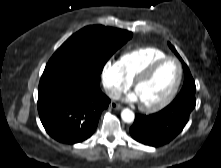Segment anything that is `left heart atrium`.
Listing matches in <instances>:
<instances>
[{"label":"left heart atrium","mask_w":221,"mask_h":168,"mask_svg":"<svg viewBox=\"0 0 221 168\" xmlns=\"http://www.w3.org/2000/svg\"><path fill=\"white\" fill-rule=\"evenodd\" d=\"M128 99H129L130 101H133V102L138 101V98H137V96H136L135 93L129 95Z\"/></svg>","instance_id":"39dd6f15"}]
</instances>
